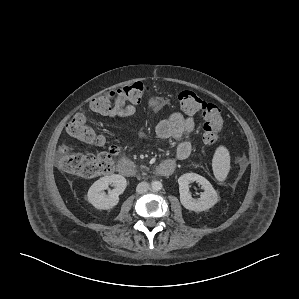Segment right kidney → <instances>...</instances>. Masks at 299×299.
I'll use <instances>...</instances> for the list:
<instances>
[{
    "instance_id": "ca27d5eb",
    "label": "right kidney",
    "mask_w": 299,
    "mask_h": 299,
    "mask_svg": "<svg viewBox=\"0 0 299 299\" xmlns=\"http://www.w3.org/2000/svg\"><path fill=\"white\" fill-rule=\"evenodd\" d=\"M109 185L114 186V189L109 190L108 194H106L104 190L108 189ZM126 186L127 181L122 175L113 174L101 177L89 188L87 200L97 209H112L118 204L119 195L124 192Z\"/></svg>"
}]
</instances>
